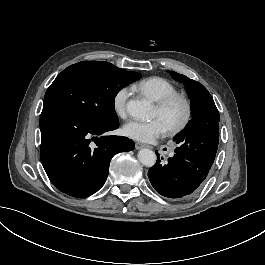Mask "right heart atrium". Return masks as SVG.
I'll list each match as a JSON object with an SVG mask.
<instances>
[{
	"label": "right heart atrium",
	"mask_w": 265,
	"mask_h": 265,
	"mask_svg": "<svg viewBox=\"0 0 265 265\" xmlns=\"http://www.w3.org/2000/svg\"><path fill=\"white\" fill-rule=\"evenodd\" d=\"M129 92L126 89H123L116 103V116L119 119H124L127 116V111L130 109V104L126 101L128 98Z\"/></svg>",
	"instance_id": "d8ad5b80"
}]
</instances>
